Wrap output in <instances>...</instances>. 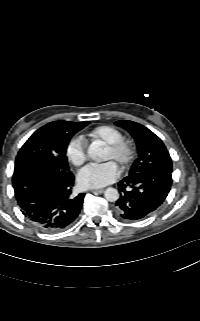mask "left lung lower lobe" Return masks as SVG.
<instances>
[{"mask_svg":"<svg viewBox=\"0 0 200 321\" xmlns=\"http://www.w3.org/2000/svg\"><path fill=\"white\" fill-rule=\"evenodd\" d=\"M172 184V172L148 170L129 174L118 183L120 198L116 217L125 222L140 220L156 210L166 199Z\"/></svg>","mask_w":200,"mask_h":321,"instance_id":"0a47b994","label":"left lung lower lobe"}]
</instances>
